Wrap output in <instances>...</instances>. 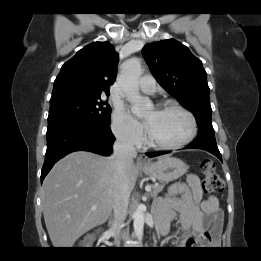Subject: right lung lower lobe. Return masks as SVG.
<instances>
[{"label": "right lung lower lobe", "instance_id": "right-lung-lower-lobe-1", "mask_svg": "<svg viewBox=\"0 0 261 261\" xmlns=\"http://www.w3.org/2000/svg\"><path fill=\"white\" fill-rule=\"evenodd\" d=\"M47 150L41 182L53 165L70 152L85 150L108 156L115 138L110 126L85 121H66L48 125Z\"/></svg>", "mask_w": 261, "mask_h": 261}]
</instances>
